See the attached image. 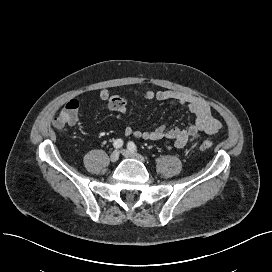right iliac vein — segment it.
Masks as SVG:
<instances>
[{"mask_svg": "<svg viewBox=\"0 0 272 272\" xmlns=\"http://www.w3.org/2000/svg\"><path fill=\"white\" fill-rule=\"evenodd\" d=\"M119 156H120L119 151H117V150L113 151L110 155L111 162H113V163L117 162L119 159Z\"/></svg>", "mask_w": 272, "mask_h": 272, "instance_id": "right-iliac-vein-1", "label": "right iliac vein"}]
</instances>
